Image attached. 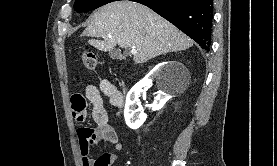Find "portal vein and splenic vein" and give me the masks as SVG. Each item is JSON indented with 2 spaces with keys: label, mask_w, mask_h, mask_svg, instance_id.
Masks as SVG:
<instances>
[{
  "label": "portal vein and splenic vein",
  "mask_w": 277,
  "mask_h": 166,
  "mask_svg": "<svg viewBox=\"0 0 277 166\" xmlns=\"http://www.w3.org/2000/svg\"><path fill=\"white\" fill-rule=\"evenodd\" d=\"M131 53L134 55V54L137 53V50H136L135 48H132V49H131Z\"/></svg>",
  "instance_id": "18ae733b"
}]
</instances>
